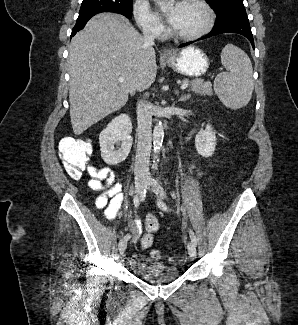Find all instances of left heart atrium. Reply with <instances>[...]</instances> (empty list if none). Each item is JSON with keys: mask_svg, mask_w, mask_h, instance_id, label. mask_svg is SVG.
I'll return each mask as SVG.
<instances>
[{"mask_svg": "<svg viewBox=\"0 0 298 325\" xmlns=\"http://www.w3.org/2000/svg\"><path fill=\"white\" fill-rule=\"evenodd\" d=\"M177 9H178V4L177 3H169L166 8L163 10V16L165 17V19L171 23L177 13Z\"/></svg>", "mask_w": 298, "mask_h": 325, "instance_id": "obj_1", "label": "left heart atrium"}]
</instances>
